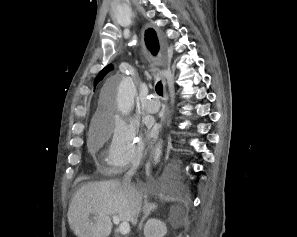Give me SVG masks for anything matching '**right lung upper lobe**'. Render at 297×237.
I'll return each mask as SVG.
<instances>
[{
	"mask_svg": "<svg viewBox=\"0 0 297 237\" xmlns=\"http://www.w3.org/2000/svg\"><path fill=\"white\" fill-rule=\"evenodd\" d=\"M145 42L148 49L151 51V53L155 55L159 50V42H158L156 32L153 29H148L145 32ZM112 69H113L112 64L106 66L95 78L94 86H96L104 78V76Z\"/></svg>",
	"mask_w": 297,
	"mask_h": 237,
	"instance_id": "obj_1",
	"label": "right lung upper lobe"
}]
</instances>
